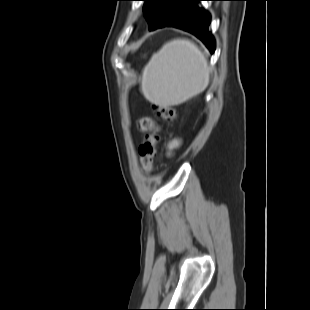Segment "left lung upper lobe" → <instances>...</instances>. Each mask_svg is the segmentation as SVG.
I'll use <instances>...</instances> for the list:
<instances>
[{
	"label": "left lung upper lobe",
	"instance_id": "left-lung-upper-lobe-1",
	"mask_svg": "<svg viewBox=\"0 0 310 310\" xmlns=\"http://www.w3.org/2000/svg\"><path fill=\"white\" fill-rule=\"evenodd\" d=\"M143 11L149 29L155 30L170 24L187 5L189 0H143Z\"/></svg>",
	"mask_w": 310,
	"mask_h": 310
}]
</instances>
